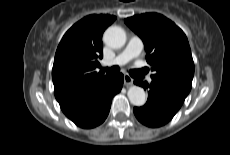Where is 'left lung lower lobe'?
Instances as JSON below:
<instances>
[{
    "instance_id": "obj_1",
    "label": "left lung lower lobe",
    "mask_w": 230,
    "mask_h": 155,
    "mask_svg": "<svg viewBox=\"0 0 230 155\" xmlns=\"http://www.w3.org/2000/svg\"><path fill=\"white\" fill-rule=\"evenodd\" d=\"M134 83L148 89L146 104L134 108L136 118L148 127H160L168 123L179 111L186 98L154 81L148 84L135 79Z\"/></svg>"
}]
</instances>
